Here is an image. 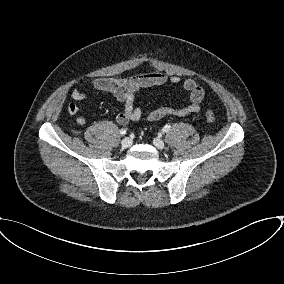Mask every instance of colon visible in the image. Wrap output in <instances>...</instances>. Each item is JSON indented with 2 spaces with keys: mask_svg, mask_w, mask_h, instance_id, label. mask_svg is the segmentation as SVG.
<instances>
[{
  "mask_svg": "<svg viewBox=\"0 0 284 284\" xmlns=\"http://www.w3.org/2000/svg\"><path fill=\"white\" fill-rule=\"evenodd\" d=\"M205 115H206V119H207V121L209 123H214L215 122L216 118H215V116H214V114H213V112L211 110L208 109L206 111Z\"/></svg>",
  "mask_w": 284,
  "mask_h": 284,
  "instance_id": "5ec220e1",
  "label": "colon"
}]
</instances>
